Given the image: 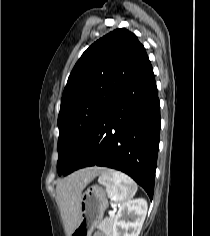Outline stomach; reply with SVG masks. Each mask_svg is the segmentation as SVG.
<instances>
[{"instance_id": "0dacf381", "label": "stomach", "mask_w": 210, "mask_h": 236, "mask_svg": "<svg viewBox=\"0 0 210 236\" xmlns=\"http://www.w3.org/2000/svg\"><path fill=\"white\" fill-rule=\"evenodd\" d=\"M108 207L106 191L93 185L81 197L79 217L71 236H91Z\"/></svg>"}]
</instances>
